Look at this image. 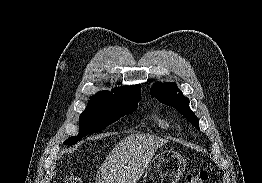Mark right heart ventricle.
Returning a JSON list of instances; mask_svg holds the SVG:
<instances>
[{"label": "right heart ventricle", "instance_id": "right-heart-ventricle-1", "mask_svg": "<svg viewBox=\"0 0 262 183\" xmlns=\"http://www.w3.org/2000/svg\"><path fill=\"white\" fill-rule=\"evenodd\" d=\"M157 122L163 128H167L168 127L167 123L165 121L161 120V119H157Z\"/></svg>", "mask_w": 262, "mask_h": 183}]
</instances>
